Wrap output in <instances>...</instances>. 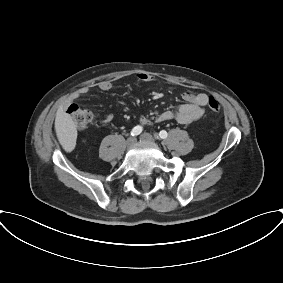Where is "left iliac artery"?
I'll return each mask as SVG.
<instances>
[{
  "mask_svg": "<svg viewBox=\"0 0 283 283\" xmlns=\"http://www.w3.org/2000/svg\"><path fill=\"white\" fill-rule=\"evenodd\" d=\"M168 134L165 130H161L157 136V138L165 139L167 138Z\"/></svg>",
  "mask_w": 283,
  "mask_h": 283,
  "instance_id": "44dca946",
  "label": "left iliac artery"
}]
</instances>
